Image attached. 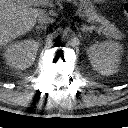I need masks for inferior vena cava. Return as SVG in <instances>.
<instances>
[{
  "instance_id": "obj_1",
  "label": "inferior vena cava",
  "mask_w": 128,
  "mask_h": 128,
  "mask_svg": "<svg viewBox=\"0 0 128 128\" xmlns=\"http://www.w3.org/2000/svg\"><path fill=\"white\" fill-rule=\"evenodd\" d=\"M53 21L54 19L49 17L47 13H41L40 15H38V22L41 24H49L52 23Z\"/></svg>"
}]
</instances>
